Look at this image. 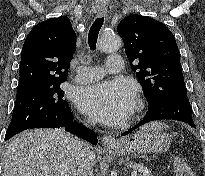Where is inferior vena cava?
<instances>
[{"mask_svg":"<svg viewBox=\"0 0 205 176\" xmlns=\"http://www.w3.org/2000/svg\"><path fill=\"white\" fill-rule=\"evenodd\" d=\"M77 171L76 176H94L90 156L92 151L87 142L76 139L74 142Z\"/></svg>","mask_w":205,"mask_h":176,"instance_id":"602c4592","label":"inferior vena cava"}]
</instances>
